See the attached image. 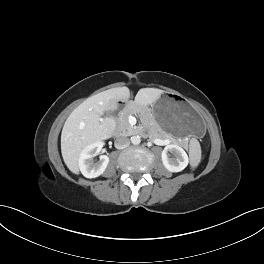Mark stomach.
Masks as SVG:
<instances>
[{
  "label": "stomach",
  "instance_id": "0dacf381",
  "mask_svg": "<svg viewBox=\"0 0 264 264\" xmlns=\"http://www.w3.org/2000/svg\"><path fill=\"white\" fill-rule=\"evenodd\" d=\"M151 114L158 126L174 135L201 136L205 125L185 98L173 93L161 94L151 108Z\"/></svg>",
  "mask_w": 264,
  "mask_h": 264
}]
</instances>
